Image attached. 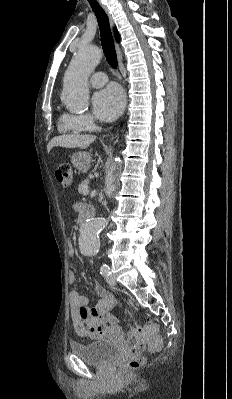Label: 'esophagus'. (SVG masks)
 <instances>
[{"label":"esophagus","instance_id":"obj_1","mask_svg":"<svg viewBox=\"0 0 232 399\" xmlns=\"http://www.w3.org/2000/svg\"><path fill=\"white\" fill-rule=\"evenodd\" d=\"M97 1L101 5L103 10L105 11L106 15L108 16L109 23H110L111 27H113L114 26V21H113V18L111 16V13L109 12L107 6L102 3V0H97ZM116 52H117L118 61L121 63L122 60H123V55H122L121 48H120V46L117 43H116Z\"/></svg>","mask_w":232,"mask_h":399}]
</instances>
